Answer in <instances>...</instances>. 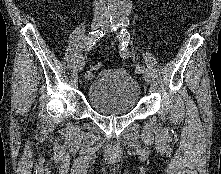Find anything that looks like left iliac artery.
<instances>
[{"label":"left iliac artery","instance_id":"left-iliac-artery-1","mask_svg":"<svg viewBox=\"0 0 221 174\" xmlns=\"http://www.w3.org/2000/svg\"><path fill=\"white\" fill-rule=\"evenodd\" d=\"M128 25H129V20L127 18H123L119 21H115L111 25L112 30L113 29L116 30L118 27L122 28L121 29L122 43H121L120 55L123 58H127L129 55L128 45L131 41V37H130V33L127 30ZM143 68H144L143 66L137 67L136 71L141 73Z\"/></svg>","mask_w":221,"mask_h":174}]
</instances>
